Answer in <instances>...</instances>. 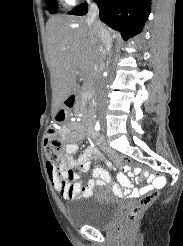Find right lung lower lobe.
I'll use <instances>...</instances> for the list:
<instances>
[{
	"instance_id": "98d812e1",
	"label": "right lung lower lobe",
	"mask_w": 183,
	"mask_h": 246,
	"mask_svg": "<svg viewBox=\"0 0 183 246\" xmlns=\"http://www.w3.org/2000/svg\"><path fill=\"white\" fill-rule=\"evenodd\" d=\"M100 9V19L121 32L127 40L142 31L148 19L151 0H96ZM87 4L77 6L69 11L71 15H85Z\"/></svg>"
}]
</instances>
